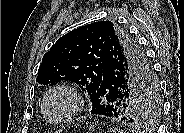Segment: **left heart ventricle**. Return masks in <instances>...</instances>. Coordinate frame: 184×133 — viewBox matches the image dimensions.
Instances as JSON below:
<instances>
[{
	"mask_svg": "<svg viewBox=\"0 0 184 133\" xmlns=\"http://www.w3.org/2000/svg\"><path fill=\"white\" fill-rule=\"evenodd\" d=\"M46 108L47 113L52 118H58L64 115L69 110V98L62 93L55 94L49 99Z\"/></svg>",
	"mask_w": 184,
	"mask_h": 133,
	"instance_id": "1",
	"label": "left heart ventricle"
}]
</instances>
